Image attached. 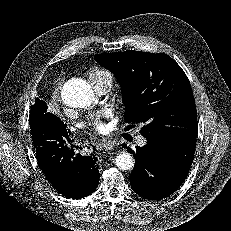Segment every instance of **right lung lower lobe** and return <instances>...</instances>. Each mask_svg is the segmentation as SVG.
<instances>
[{"mask_svg":"<svg viewBox=\"0 0 231 231\" xmlns=\"http://www.w3.org/2000/svg\"><path fill=\"white\" fill-rule=\"evenodd\" d=\"M30 125L38 165L53 187L67 198L80 199L95 191L99 170L95 153L81 155L72 150L64 123L47 113V105ZM90 149V148H89Z\"/></svg>","mask_w":231,"mask_h":231,"instance_id":"right-lung-lower-lobe-1","label":"right lung lower lobe"}]
</instances>
